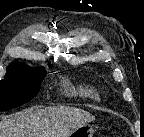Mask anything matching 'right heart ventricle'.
<instances>
[{
	"mask_svg": "<svg viewBox=\"0 0 144 137\" xmlns=\"http://www.w3.org/2000/svg\"><path fill=\"white\" fill-rule=\"evenodd\" d=\"M62 86L64 92L69 96H80L91 99L97 98V93L91 85L85 83L73 84L68 80H64Z\"/></svg>",
	"mask_w": 144,
	"mask_h": 137,
	"instance_id": "e07e8e85",
	"label": "right heart ventricle"
}]
</instances>
